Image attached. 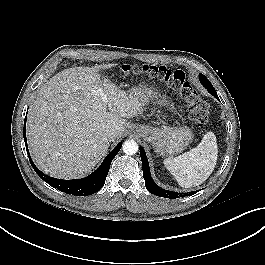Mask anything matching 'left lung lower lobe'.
Listing matches in <instances>:
<instances>
[{
    "instance_id": "obj_1",
    "label": "left lung lower lobe",
    "mask_w": 265,
    "mask_h": 265,
    "mask_svg": "<svg viewBox=\"0 0 265 265\" xmlns=\"http://www.w3.org/2000/svg\"><path fill=\"white\" fill-rule=\"evenodd\" d=\"M199 79H200L202 85L208 90V92L219 100L218 95H217L214 87L210 83V81L203 74L199 75ZM140 157H141V161H142V165H143V177L145 180V185H146V188L148 189V191L150 193L157 195V196H160V197H165V198H170V199H176L178 197H185L187 195L190 196V195H193L196 193V191L189 192V193H177V192L164 190V189L160 188L153 181V179L151 177L147 156H146L145 151L142 147L140 148Z\"/></svg>"
}]
</instances>
